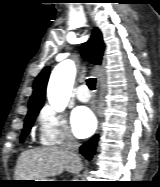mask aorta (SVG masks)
I'll return each instance as SVG.
<instances>
[{
    "label": "aorta",
    "instance_id": "obj_1",
    "mask_svg": "<svg viewBox=\"0 0 160 187\" xmlns=\"http://www.w3.org/2000/svg\"><path fill=\"white\" fill-rule=\"evenodd\" d=\"M76 67L72 60H65L59 63L51 73L47 97L50 105L56 111H63L70 99Z\"/></svg>",
    "mask_w": 160,
    "mask_h": 187
}]
</instances>
